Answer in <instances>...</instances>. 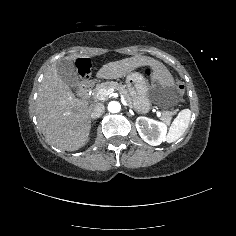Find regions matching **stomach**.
Returning a JSON list of instances; mask_svg holds the SVG:
<instances>
[{
    "label": "stomach",
    "instance_id": "obj_1",
    "mask_svg": "<svg viewBox=\"0 0 236 236\" xmlns=\"http://www.w3.org/2000/svg\"><path fill=\"white\" fill-rule=\"evenodd\" d=\"M153 85L139 72H130L125 77L127 90L139 113L149 111L152 103L168 108L176 102L172 79L162 73L153 77Z\"/></svg>",
    "mask_w": 236,
    "mask_h": 236
}]
</instances>
